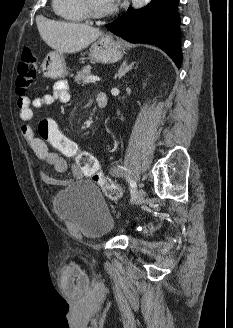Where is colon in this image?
Here are the masks:
<instances>
[{
	"label": "colon",
	"instance_id": "5ec220e1",
	"mask_svg": "<svg viewBox=\"0 0 233 328\" xmlns=\"http://www.w3.org/2000/svg\"><path fill=\"white\" fill-rule=\"evenodd\" d=\"M37 74L36 56L32 49H23L16 74V91L24 94L32 85ZM40 137L52 145L66 157L76 159L77 166L83 174L92 177L100 185L104 194L111 200H118L122 196L120 187L101 170L98 160L90 153L82 151L78 145L67 138L49 119H43L38 127Z\"/></svg>",
	"mask_w": 233,
	"mask_h": 328
}]
</instances>
